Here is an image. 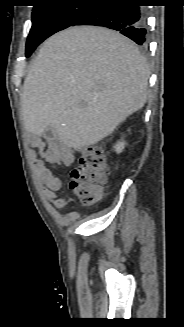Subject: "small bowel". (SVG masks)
<instances>
[{
	"mask_svg": "<svg viewBox=\"0 0 184 327\" xmlns=\"http://www.w3.org/2000/svg\"><path fill=\"white\" fill-rule=\"evenodd\" d=\"M32 142L37 146L39 144V139L33 138ZM47 144V150L39 151V153L36 151L32 152V164L37 176L46 186L45 195L57 209H62L66 204L65 199L62 197V181L53 174L52 170L46 166L45 162H49L53 166H69L74 162V153L69 148L60 147L51 139L47 141ZM39 155H41L43 159L40 158Z\"/></svg>",
	"mask_w": 184,
	"mask_h": 327,
	"instance_id": "1",
	"label": "small bowel"
}]
</instances>
